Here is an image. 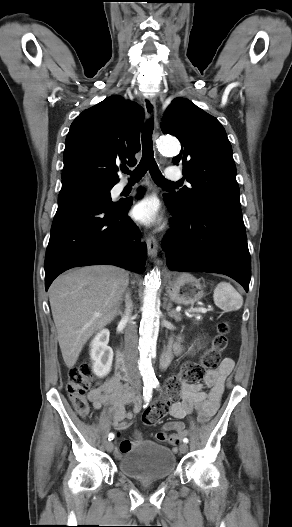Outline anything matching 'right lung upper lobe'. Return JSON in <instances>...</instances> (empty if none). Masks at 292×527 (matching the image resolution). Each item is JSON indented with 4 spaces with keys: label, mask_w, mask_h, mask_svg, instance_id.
I'll use <instances>...</instances> for the list:
<instances>
[{
    "label": "right lung upper lobe",
    "mask_w": 292,
    "mask_h": 527,
    "mask_svg": "<svg viewBox=\"0 0 292 527\" xmlns=\"http://www.w3.org/2000/svg\"><path fill=\"white\" fill-rule=\"evenodd\" d=\"M143 109L113 95L83 111L65 141L62 182L88 178L103 184L118 181L117 165L137 163Z\"/></svg>",
    "instance_id": "obj_1"
}]
</instances>
